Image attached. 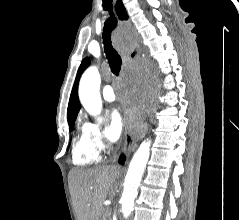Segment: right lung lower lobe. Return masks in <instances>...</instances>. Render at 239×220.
Here are the masks:
<instances>
[{"label":"right lung lower lobe","instance_id":"1","mask_svg":"<svg viewBox=\"0 0 239 220\" xmlns=\"http://www.w3.org/2000/svg\"><path fill=\"white\" fill-rule=\"evenodd\" d=\"M123 161H124V156H121L119 163H123Z\"/></svg>","mask_w":239,"mask_h":220}]
</instances>
